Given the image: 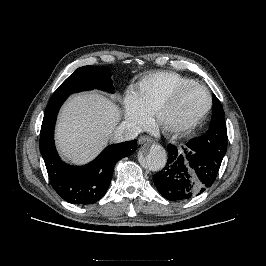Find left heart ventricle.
Wrapping results in <instances>:
<instances>
[{
    "label": "left heart ventricle",
    "mask_w": 266,
    "mask_h": 266,
    "mask_svg": "<svg viewBox=\"0 0 266 266\" xmlns=\"http://www.w3.org/2000/svg\"><path fill=\"white\" fill-rule=\"evenodd\" d=\"M207 106L205 91L191 87L184 91L174 106L166 113L164 121L168 125H177L190 121L200 115Z\"/></svg>",
    "instance_id": "left-heart-ventricle-1"
}]
</instances>
